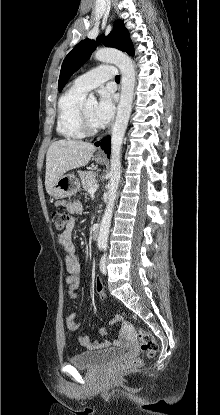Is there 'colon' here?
<instances>
[{"instance_id":"1","label":"colon","mask_w":220,"mask_h":415,"mask_svg":"<svg viewBox=\"0 0 220 415\" xmlns=\"http://www.w3.org/2000/svg\"><path fill=\"white\" fill-rule=\"evenodd\" d=\"M52 221L57 231H62L68 224L69 216L66 212H54L52 214ZM102 301L107 300L105 293L99 294ZM138 338L141 345V350L147 356L152 357L158 350V345L154 337L143 329L138 330ZM142 361L140 358H129L125 359L117 365V370H134L141 366Z\"/></svg>"}]
</instances>
